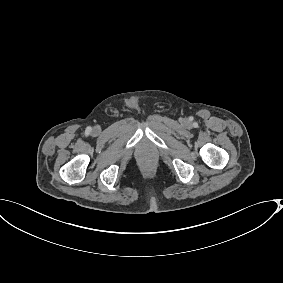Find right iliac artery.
<instances>
[{"label":"right iliac artery","instance_id":"82829eb1","mask_svg":"<svg viewBox=\"0 0 283 283\" xmlns=\"http://www.w3.org/2000/svg\"><path fill=\"white\" fill-rule=\"evenodd\" d=\"M87 131L90 132L91 131V127H87Z\"/></svg>","mask_w":283,"mask_h":283}]
</instances>
